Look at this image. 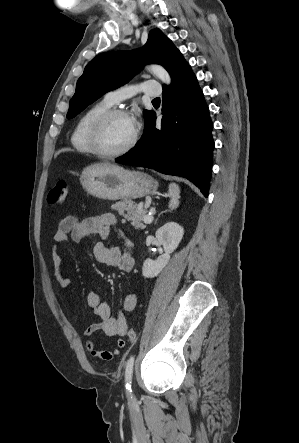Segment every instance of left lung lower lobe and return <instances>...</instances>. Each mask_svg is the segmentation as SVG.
<instances>
[{"label":"left lung lower lobe","instance_id":"1","mask_svg":"<svg viewBox=\"0 0 299 443\" xmlns=\"http://www.w3.org/2000/svg\"><path fill=\"white\" fill-rule=\"evenodd\" d=\"M162 101L161 128H156V114L152 112L137 145L116 162L185 177L207 197L214 148L213 124L190 66L172 80L171 86L163 85Z\"/></svg>","mask_w":299,"mask_h":443}]
</instances>
